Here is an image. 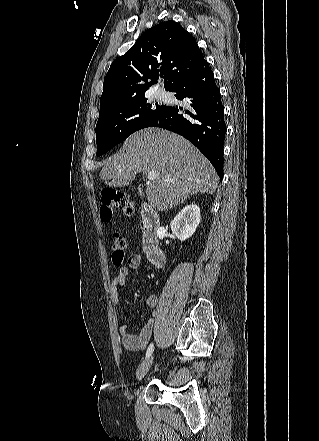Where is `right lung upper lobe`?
<instances>
[{"label":"right lung upper lobe","instance_id":"right-lung-upper-lobe-1","mask_svg":"<svg viewBox=\"0 0 319 441\" xmlns=\"http://www.w3.org/2000/svg\"><path fill=\"white\" fill-rule=\"evenodd\" d=\"M203 62L204 56L189 32L175 21L161 22L111 64L104 79L100 111L144 98L159 77H164L169 91Z\"/></svg>","mask_w":319,"mask_h":441}]
</instances>
